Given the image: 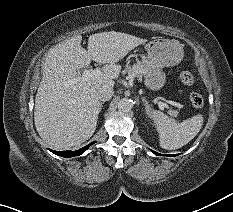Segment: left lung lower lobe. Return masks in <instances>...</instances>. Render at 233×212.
<instances>
[{
    "label": "left lung lower lobe",
    "instance_id": "0a47b994",
    "mask_svg": "<svg viewBox=\"0 0 233 212\" xmlns=\"http://www.w3.org/2000/svg\"><path fill=\"white\" fill-rule=\"evenodd\" d=\"M153 153L156 154V155H161V154H159L157 152H154V151H153ZM170 156H175V155H170Z\"/></svg>",
    "mask_w": 233,
    "mask_h": 212
}]
</instances>
